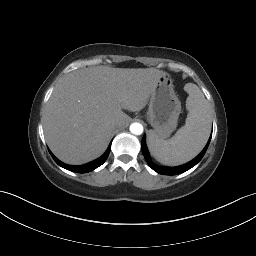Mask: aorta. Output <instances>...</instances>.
<instances>
[{"label": "aorta", "instance_id": "762f6f07", "mask_svg": "<svg viewBox=\"0 0 256 256\" xmlns=\"http://www.w3.org/2000/svg\"><path fill=\"white\" fill-rule=\"evenodd\" d=\"M130 132L135 135H141L143 133V125L140 123H132L130 125Z\"/></svg>", "mask_w": 256, "mask_h": 256}]
</instances>
